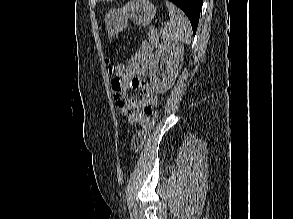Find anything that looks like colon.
<instances>
[{"mask_svg": "<svg viewBox=\"0 0 293 219\" xmlns=\"http://www.w3.org/2000/svg\"><path fill=\"white\" fill-rule=\"evenodd\" d=\"M107 66H108V71L110 75L113 76L112 82H113L114 88L117 90L120 89L121 83H120L119 77L122 72L121 65L116 60L109 58L107 60ZM148 112L151 115H153L152 119L150 120L149 124L146 127L136 132L132 139V150L134 152H138L142 149L145 143L146 137L156 121V113L154 111V108H148Z\"/></svg>", "mask_w": 293, "mask_h": 219, "instance_id": "5ec220e1", "label": "colon"}]
</instances>
